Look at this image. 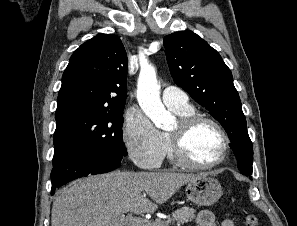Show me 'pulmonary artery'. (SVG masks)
Wrapping results in <instances>:
<instances>
[{"mask_svg": "<svg viewBox=\"0 0 297 226\" xmlns=\"http://www.w3.org/2000/svg\"><path fill=\"white\" fill-rule=\"evenodd\" d=\"M162 100L169 108L183 109L190 106L186 92L175 86H168L163 89Z\"/></svg>", "mask_w": 297, "mask_h": 226, "instance_id": "pulmonary-artery-1", "label": "pulmonary artery"}]
</instances>
